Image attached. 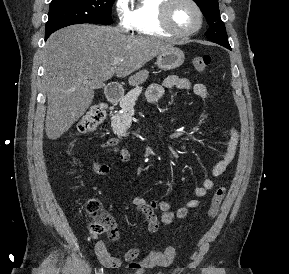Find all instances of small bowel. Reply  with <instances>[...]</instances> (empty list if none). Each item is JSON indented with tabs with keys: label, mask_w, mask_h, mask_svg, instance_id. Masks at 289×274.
Returning a JSON list of instances; mask_svg holds the SVG:
<instances>
[{
	"label": "small bowel",
	"mask_w": 289,
	"mask_h": 274,
	"mask_svg": "<svg viewBox=\"0 0 289 274\" xmlns=\"http://www.w3.org/2000/svg\"><path fill=\"white\" fill-rule=\"evenodd\" d=\"M179 89L188 90L192 89L193 93L203 99H207L209 96L206 86L202 83H195L191 85L190 81L186 78L178 77L176 75H170L166 77L162 84H152L149 86L146 92L148 100L156 101L160 99L165 89ZM239 142V132L237 129L232 128L230 130L229 140L226 144V149L221 160H219L211 169L212 176H220L223 174L232 160L234 159L237 151V145ZM111 152L116 154V157L121 162L129 160V152L126 149H111ZM93 169L97 174L104 175L110 172V164H101L97 161L93 163ZM215 183L212 179L206 178L201 184L193 191L194 198L184 202V204L178 208H173L168 202L161 199H153L146 201L141 194H137L133 198V204L136 209L142 213L148 222V230L151 233H155L159 229L160 223L163 225H169L175 218L183 219L187 216L190 209H194L200 206V199L207 195L212 190ZM111 240L118 238V232L109 236ZM95 253L99 262L109 269L119 268L123 262H133L139 255L137 248L128 250L123 257L112 256L105 242L98 241L95 244Z\"/></svg>",
	"instance_id": "1"
}]
</instances>
